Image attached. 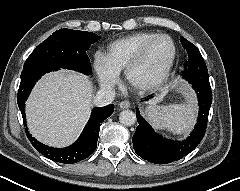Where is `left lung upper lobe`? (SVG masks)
Wrapping results in <instances>:
<instances>
[{"instance_id": "5c2ea615", "label": "left lung upper lobe", "mask_w": 240, "mask_h": 191, "mask_svg": "<svg viewBox=\"0 0 240 191\" xmlns=\"http://www.w3.org/2000/svg\"><path fill=\"white\" fill-rule=\"evenodd\" d=\"M181 42H182L183 48L188 53L189 60L185 64L187 71L189 73L207 72L206 64L198 48L195 47L191 42H189L182 36H181Z\"/></svg>"}]
</instances>
